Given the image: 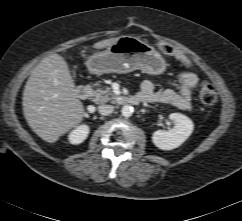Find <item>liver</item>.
Returning a JSON list of instances; mask_svg holds the SVG:
<instances>
[{
	"label": "liver",
	"mask_w": 242,
	"mask_h": 221,
	"mask_svg": "<svg viewBox=\"0 0 242 221\" xmlns=\"http://www.w3.org/2000/svg\"><path fill=\"white\" fill-rule=\"evenodd\" d=\"M117 39L96 42L93 48H106ZM22 104L30 128L49 143L56 142L84 116V107L77 98L67 63L57 53L45 57L32 70L23 91Z\"/></svg>",
	"instance_id": "1"
}]
</instances>
